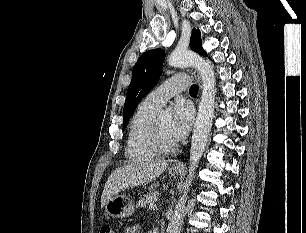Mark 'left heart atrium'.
I'll use <instances>...</instances> for the list:
<instances>
[{"label":"left heart atrium","instance_id":"obj_1","mask_svg":"<svg viewBox=\"0 0 306 233\" xmlns=\"http://www.w3.org/2000/svg\"><path fill=\"white\" fill-rule=\"evenodd\" d=\"M193 121L192 109L183 102L173 107V117L169 125V136L175 142L182 141L188 134Z\"/></svg>","mask_w":306,"mask_h":233}]
</instances>
